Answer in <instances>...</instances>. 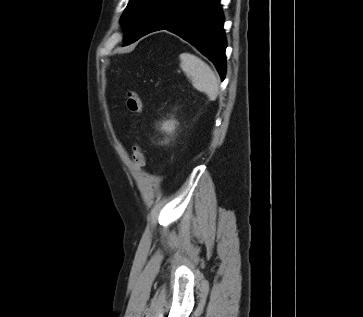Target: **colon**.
<instances>
[{
	"instance_id": "colon-1",
	"label": "colon",
	"mask_w": 363,
	"mask_h": 317,
	"mask_svg": "<svg viewBox=\"0 0 363 317\" xmlns=\"http://www.w3.org/2000/svg\"><path fill=\"white\" fill-rule=\"evenodd\" d=\"M126 105L130 112L138 114L142 111V100L140 95L135 91H128L126 97ZM133 163L141 167L145 162V155L142 148L139 145H135L132 153Z\"/></svg>"
}]
</instances>
